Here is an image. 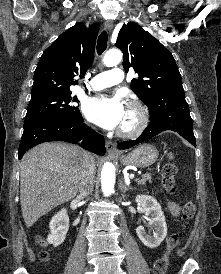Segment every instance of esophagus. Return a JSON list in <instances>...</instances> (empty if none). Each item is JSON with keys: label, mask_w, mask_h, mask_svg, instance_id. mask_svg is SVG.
I'll return each mask as SVG.
<instances>
[{"label": "esophagus", "mask_w": 221, "mask_h": 274, "mask_svg": "<svg viewBox=\"0 0 221 274\" xmlns=\"http://www.w3.org/2000/svg\"><path fill=\"white\" fill-rule=\"evenodd\" d=\"M104 27L107 31H111L113 28V21L106 20L104 23ZM106 150L109 154H118L119 151L117 150L116 144L110 140H106L105 142Z\"/></svg>", "instance_id": "1"}]
</instances>
